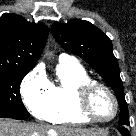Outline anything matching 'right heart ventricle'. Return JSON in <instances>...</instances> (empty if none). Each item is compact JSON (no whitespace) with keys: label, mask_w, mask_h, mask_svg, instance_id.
<instances>
[{"label":"right heart ventricle","mask_w":136,"mask_h":136,"mask_svg":"<svg viewBox=\"0 0 136 136\" xmlns=\"http://www.w3.org/2000/svg\"><path fill=\"white\" fill-rule=\"evenodd\" d=\"M57 77V83L51 84L52 105L43 119L56 124L90 122L78 108L77 90L82 84L91 81V77L77 62H60Z\"/></svg>","instance_id":"1"}]
</instances>
